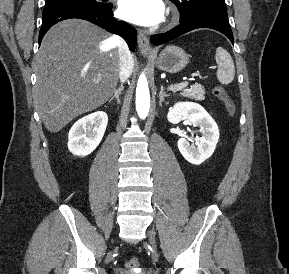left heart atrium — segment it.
<instances>
[{
  "label": "left heart atrium",
  "instance_id": "1",
  "mask_svg": "<svg viewBox=\"0 0 289 274\" xmlns=\"http://www.w3.org/2000/svg\"><path fill=\"white\" fill-rule=\"evenodd\" d=\"M118 12L124 20L151 26L162 20L164 6L161 0H119Z\"/></svg>",
  "mask_w": 289,
  "mask_h": 274
}]
</instances>
